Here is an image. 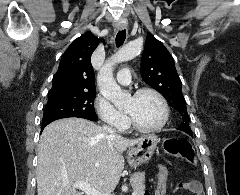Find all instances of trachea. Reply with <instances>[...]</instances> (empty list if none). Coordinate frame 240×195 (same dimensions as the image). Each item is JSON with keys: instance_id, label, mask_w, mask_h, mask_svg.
Returning <instances> with one entry per match:
<instances>
[{"instance_id": "1", "label": "trachea", "mask_w": 240, "mask_h": 195, "mask_svg": "<svg viewBox=\"0 0 240 195\" xmlns=\"http://www.w3.org/2000/svg\"><path fill=\"white\" fill-rule=\"evenodd\" d=\"M125 39H126V31L121 30L116 35V46L120 47L121 45H123V43L125 42Z\"/></svg>"}]
</instances>
